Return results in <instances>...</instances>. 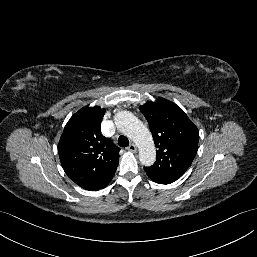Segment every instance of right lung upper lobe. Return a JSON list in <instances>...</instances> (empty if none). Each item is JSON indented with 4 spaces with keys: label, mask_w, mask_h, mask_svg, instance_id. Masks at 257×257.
<instances>
[{
    "label": "right lung upper lobe",
    "mask_w": 257,
    "mask_h": 257,
    "mask_svg": "<svg viewBox=\"0 0 257 257\" xmlns=\"http://www.w3.org/2000/svg\"><path fill=\"white\" fill-rule=\"evenodd\" d=\"M104 114L99 106L82 108L70 118L58 144L64 171L89 191L106 187L119 163L120 148L101 134Z\"/></svg>",
    "instance_id": "obj_1"
}]
</instances>
